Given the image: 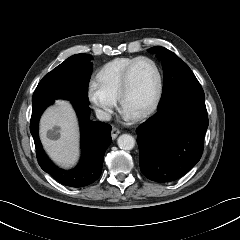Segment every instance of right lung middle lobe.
Masks as SVG:
<instances>
[{
    "label": "right lung middle lobe",
    "instance_id": "1",
    "mask_svg": "<svg viewBox=\"0 0 240 240\" xmlns=\"http://www.w3.org/2000/svg\"><path fill=\"white\" fill-rule=\"evenodd\" d=\"M92 57L76 54L46 74L36 87L32 102L52 98L89 104L87 90L92 71Z\"/></svg>",
    "mask_w": 240,
    "mask_h": 240
}]
</instances>
